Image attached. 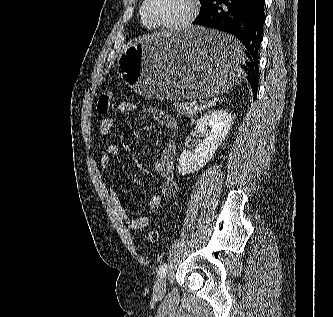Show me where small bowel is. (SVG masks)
Returning a JSON list of instances; mask_svg holds the SVG:
<instances>
[{
	"mask_svg": "<svg viewBox=\"0 0 333 317\" xmlns=\"http://www.w3.org/2000/svg\"><path fill=\"white\" fill-rule=\"evenodd\" d=\"M137 109L136 104L133 102L125 101L118 105V110L122 113H130ZM146 113L156 123L174 130L176 127L175 122L171 116L156 107L146 108ZM114 125V119L112 117H105L99 124V135L101 138H105L111 131ZM120 152L118 144L111 143L107 146L106 152L101 156L100 163L103 168L110 169L112 164V158L116 157ZM176 146L174 142H169L162 150L161 156L155 163V170L162 179L161 193L152 194L148 201L149 213L142 215L138 218H130L123 207L116 191L114 189L109 190L111 201L115 207V210L124 222V224L133 230H141L146 228L153 216L163 206L164 198L174 197L178 192V184L174 177V162H175Z\"/></svg>",
	"mask_w": 333,
	"mask_h": 317,
	"instance_id": "1",
	"label": "small bowel"
}]
</instances>
